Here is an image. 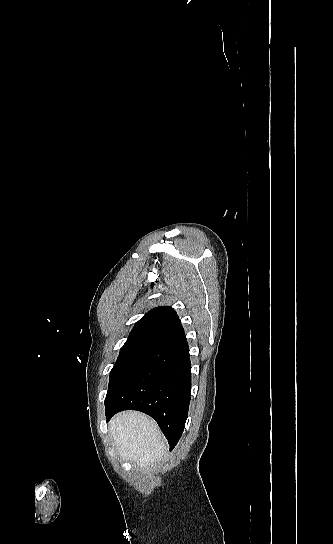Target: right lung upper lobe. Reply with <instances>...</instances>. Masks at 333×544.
<instances>
[{"label":"right lung upper lobe","mask_w":333,"mask_h":544,"mask_svg":"<svg viewBox=\"0 0 333 544\" xmlns=\"http://www.w3.org/2000/svg\"><path fill=\"white\" fill-rule=\"evenodd\" d=\"M182 335L184 329L176 311L171 307L160 306L151 309L136 322L121 349L153 348Z\"/></svg>","instance_id":"cb5924a9"}]
</instances>
